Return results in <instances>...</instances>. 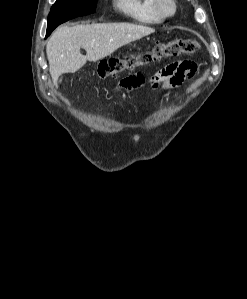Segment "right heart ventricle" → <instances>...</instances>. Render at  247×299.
Instances as JSON below:
<instances>
[{
    "mask_svg": "<svg viewBox=\"0 0 247 299\" xmlns=\"http://www.w3.org/2000/svg\"><path fill=\"white\" fill-rule=\"evenodd\" d=\"M114 5L134 22L148 25L162 22V17L156 11L155 0H114Z\"/></svg>",
    "mask_w": 247,
    "mask_h": 299,
    "instance_id": "right-heart-ventricle-1",
    "label": "right heart ventricle"
}]
</instances>
